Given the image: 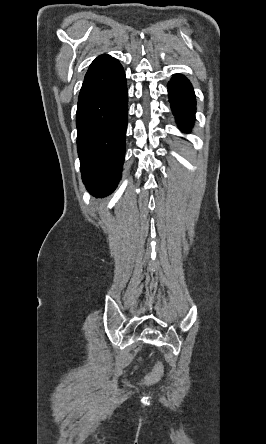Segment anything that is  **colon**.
<instances>
[{
    "label": "colon",
    "mask_w": 266,
    "mask_h": 444,
    "mask_svg": "<svg viewBox=\"0 0 266 444\" xmlns=\"http://www.w3.org/2000/svg\"><path fill=\"white\" fill-rule=\"evenodd\" d=\"M165 372V368L162 362L157 361L154 365V369L151 373H149L146 376V383L147 384H154L156 382H158L164 375Z\"/></svg>",
    "instance_id": "colon-1"
}]
</instances>
